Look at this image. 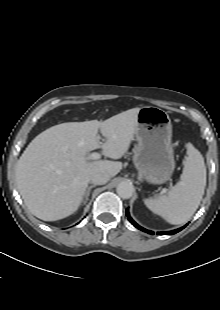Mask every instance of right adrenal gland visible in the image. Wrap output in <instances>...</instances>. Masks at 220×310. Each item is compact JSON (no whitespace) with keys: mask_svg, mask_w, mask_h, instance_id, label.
Masks as SVG:
<instances>
[{"mask_svg":"<svg viewBox=\"0 0 220 310\" xmlns=\"http://www.w3.org/2000/svg\"><path fill=\"white\" fill-rule=\"evenodd\" d=\"M96 187V185H91L87 188V190L85 191L84 193V196H83V204H86L87 201H88V198H89V195H90V192H91V189Z\"/></svg>","mask_w":220,"mask_h":310,"instance_id":"2a0ac1e0","label":"right adrenal gland"}]
</instances>
